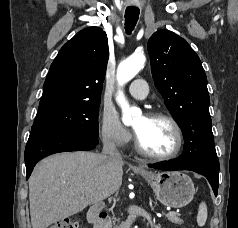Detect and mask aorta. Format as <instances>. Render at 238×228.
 Returning a JSON list of instances; mask_svg holds the SVG:
<instances>
[{
  "mask_svg": "<svg viewBox=\"0 0 238 228\" xmlns=\"http://www.w3.org/2000/svg\"><path fill=\"white\" fill-rule=\"evenodd\" d=\"M146 57L142 53H134L126 60L122 61L117 69V81L119 86H123L125 83L133 79L138 72L144 67ZM116 101L122 109V121L124 124H129L132 121L133 116L138 114L139 110L134 107H130L123 92L118 91ZM137 228V226H135Z\"/></svg>",
  "mask_w": 238,
  "mask_h": 228,
  "instance_id": "obj_1",
  "label": "aorta"
}]
</instances>
